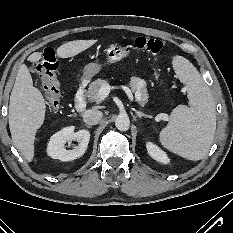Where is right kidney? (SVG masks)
<instances>
[{
	"mask_svg": "<svg viewBox=\"0 0 233 233\" xmlns=\"http://www.w3.org/2000/svg\"><path fill=\"white\" fill-rule=\"evenodd\" d=\"M89 139V131L79 130L78 132H74V126L66 127L50 138L47 147L48 155L53 159H59L61 161L74 160L85 153ZM72 141L78 142V145L72 150L66 149L65 144Z\"/></svg>",
	"mask_w": 233,
	"mask_h": 233,
	"instance_id": "1",
	"label": "right kidney"
}]
</instances>
